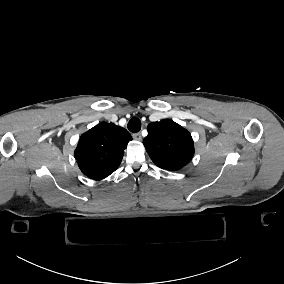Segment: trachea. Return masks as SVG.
Returning <instances> with one entry per match:
<instances>
[{"label":"trachea","instance_id":"trachea-1","mask_svg":"<svg viewBox=\"0 0 284 284\" xmlns=\"http://www.w3.org/2000/svg\"><path fill=\"white\" fill-rule=\"evenodd\" d=\"M128 129L131 132H139L141 130V121L137 117H133L129 122H128Z\"/></svg>","mask_w":284,"mask_h":284}]
</instances>
